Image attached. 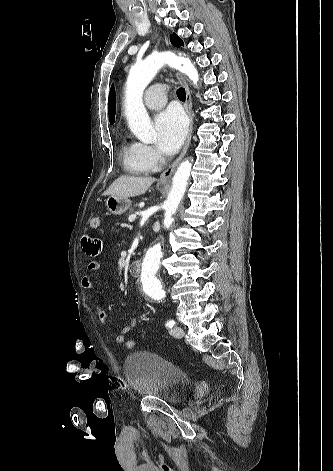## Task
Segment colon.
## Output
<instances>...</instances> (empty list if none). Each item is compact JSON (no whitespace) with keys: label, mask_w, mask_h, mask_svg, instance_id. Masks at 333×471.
<instances>
[{"label":"colon","mask_w":333,"mask_h":471,"mask_svg":"<svg viewBox=\"0 0 333 471\" xmlns=\"http://www.w3.org/2000/svg\"><path fill=\"white\" fill-rule=\"evenodd\" d=\"M89 226L92 229H97L100 226V217L95 215L92 216L89 220ZM124 345L127 349H133L136 346V342L132 339H128L124 342Z\"/></svg>","instance_id":"colon-1"}]
</instances>
